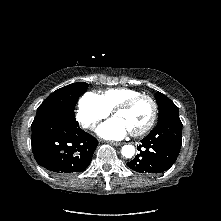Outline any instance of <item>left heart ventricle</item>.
Masks as SVG:
<instances>
[{
	"label": "left heart ventricle",
	"mask_w": 221,
	"mask_h": 221,
	"mask_svg": "<svg viewBox=\"0 0 221 221\" xmlns=\"http://www.w3.org/2000/svg\"><path fill=\"white\" fill-rule=\"evenodd\" d=\"M152 104L148 99H141L131 108L116 113L115 118L120 119L129 129V132L140 130L150 120Z\"/></svg>",
	"instance_id": "1"
}]
</instances>
